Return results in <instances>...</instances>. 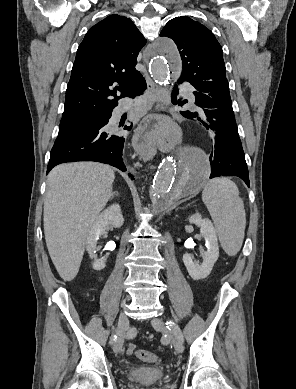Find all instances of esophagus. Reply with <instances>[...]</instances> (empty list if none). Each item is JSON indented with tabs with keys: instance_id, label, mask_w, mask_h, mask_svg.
<instances>
[{
	"instance_id": "34e87169",
	"label": "esophagus",
	"mask_w": 296,
	"mask_h": 389,
	"mask_svg": "<svg viewBox=\"0 0 296 389\" xmlns=\"http://www.w3.org/2000/svg\"><path fill=\"white\" fill-rule=\"evenodd\" d=\"M145 79L149 93L156 99V109L163 108L166 91L155 84L147 73ZM175 126L170 112H149L145 122H138L133 132L132 149L140 157H151L154 153L153 138L158 136L159 131H171Z\"/></svg>"
}]
</instances>
